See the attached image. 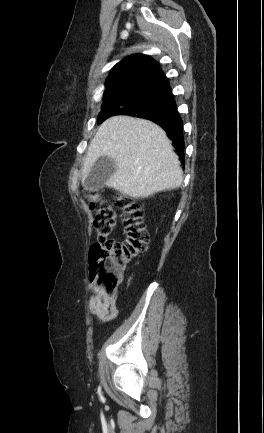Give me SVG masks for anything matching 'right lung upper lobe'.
<instances>
[{"label":"right lung upper lobe","mask_w":264,"mask_h":433,"mask_svg":"<svg viewBox=\"0 0 264 433\" xmlns=\"http://www.w3.org/2000/svg\"><path fill=\"white\" fill-rule=\"evenodd\" d=\"M159 67L150 56L136 54L124 58L110 71L105 83V97L115 96L131 88H141Z\"/></svg>","instance_id":"right-lung-upper-lobe-1"}]
</instances>
